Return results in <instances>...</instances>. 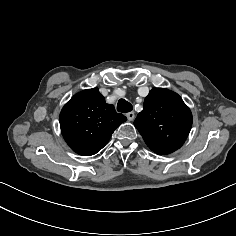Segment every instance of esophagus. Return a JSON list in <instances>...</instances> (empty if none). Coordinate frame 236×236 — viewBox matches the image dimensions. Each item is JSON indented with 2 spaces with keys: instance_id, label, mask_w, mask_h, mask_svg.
<instances>
[{
  "instance_id": "34e87169",
  "label": "esophagus",
  "mask_w": 236,
  "mask_h": 236,
  "mask_svg": "<svg viewBox=\"0 0 236 236\" xmlns=\"http://www.w3.org/2000/svg\"><path fill=\"white\" fill-rule=\"evenodd\" d=\"M126 117L129 121H132L135 118V113L134 112H128V113H126Z\"/></svg>"
}]
</instances>
